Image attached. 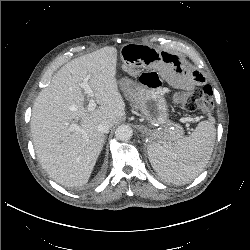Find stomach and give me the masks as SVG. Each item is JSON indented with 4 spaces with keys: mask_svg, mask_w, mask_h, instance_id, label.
I'll list each match as a JSON object with an SVG mask.
<instances>
[{
    "mask_svg": "<svg viewBox=\"0 0 250 250\" xmlns=\"http://www.w3.org/2000/svg\"><path fill=\"white\" fill-rule=\"evenodd\" d=\"M135 77V81H128L123 85L134 109L148 120L166 126L153 134V142H170L182 137V127L168 120L165 90L160 78L157 75Z\"/></svg>",
    "mask_w": 250,
    "mask_h": 250,
    "instance_id": "1",
    "label": "stomach"
}]
</instances>
